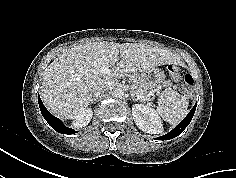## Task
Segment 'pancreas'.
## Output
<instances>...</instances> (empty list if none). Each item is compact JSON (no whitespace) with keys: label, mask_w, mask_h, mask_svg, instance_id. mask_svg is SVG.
<instances>
[{"label":"pancreas","mask_w":236,"mask_h":178,"mask_svg":"<svg viewBox=\"0 0 236 178\" xmlns=\"http://www.w3.org/2000/svg\"><path fill=\"white\" fill-rule=\"evenodd\" d=\"M129 80L132 83L134 93L143 97H148V92L143 89V87L140 85L138 79L134 75H129Z\"/></svg>","instance_id":"pancreas-1"}]
</instances>
